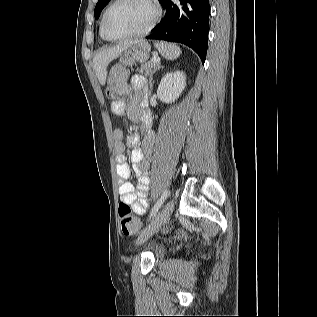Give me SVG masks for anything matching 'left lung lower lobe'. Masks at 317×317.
<instances>
[{
    "instance_id": "0a47b994",
    "label": "left lung lower lobe",
    "mask_w": 317,
    "mask_h": 317,
    "mask_svg": "<svg viewBox=\"0 0 317 317\" xmlns=\"http://www.w3.org/2000/svg\"><path fill=\"white\" fill-rule=\"evenodd\" d=\"M166 14L147 39L179 42L191 47L204 63L208 46L209 0H180L162 3Z\"/></svg>"
}]
</instances>
